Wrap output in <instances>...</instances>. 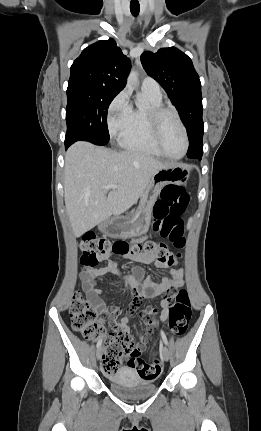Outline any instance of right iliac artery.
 Here are the masks:
<instances>
[{"instance_id":"right-iliac-artery-1","label":"right iliac artery","mask_w":261,"mask_h":431,"mask_svg":"<svg viewBox=\"0 0 261 431\" xmlns=\"http://www.w3.org/2000/svg\"><path fill=\"white\" fill-rule=\"evenodd\" d=\"M101 344H102V339L100 338L99 341L97 342L96 347L99 348L101 346Z\"/></svg>"}]
</instances>
